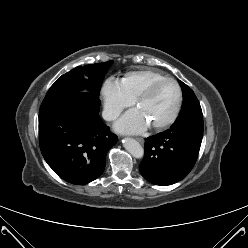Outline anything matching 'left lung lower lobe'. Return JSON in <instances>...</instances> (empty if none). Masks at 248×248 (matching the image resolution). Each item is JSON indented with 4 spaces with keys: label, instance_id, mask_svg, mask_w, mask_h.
<instances>
[{
    "label": "left lung lower lobe",
    "instance_id": "left-lung-lower-lobe-1",
    "mask_svg": "<svg viewBox=\"0 0 248 248\" xmlns=\"http://www.w3.org/2000/svg\"><path fill=\"white\" fill-rule=\"evenodd\" d=\"M203 137V120L178 123L145 142L141 175L155 185L166 186L182 180L193 168Z\"/></svg>",
    "mask_w": 248,
    "mask_h": 248
}]
</instances>
